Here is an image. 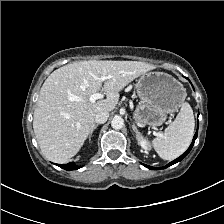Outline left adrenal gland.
Segmentation results:
<instances>
[{"label":"left adrenal gland","instance_id":"left-adrenal-gland-1","mask_svg":"<svg viewBox=\"0 0 224 224\" xmlns=\"http://www.w3.org/2000/svg\"><path fill=\"white\" fill-rule=\"evenodd\" d=\"M132 130L135 132L137 137H142V134L139 132L135 124H132Z\"/></svg>","mask_w":224,"mask_h":224}]
</instances>
